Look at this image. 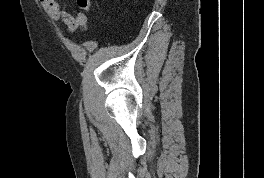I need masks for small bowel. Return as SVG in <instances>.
Returning <instances> with one entry per match:
<instances>
[{"label":"small bowel","instance_id":"small-bowel-1","mask_svg":"<svg viewBox=\"0 0 264 178\" xmlns=\"http://www.w3.org/2000/svg\"><path fill=\"white\" fill-rule=\"evenodd\" d=\"M51 19L62 21L70 32L87 26L86 14L80 12L76 16L64 11L58 0H39Z\"/></svg>","mask_w":264,"mask_h":178}]
</instances>
